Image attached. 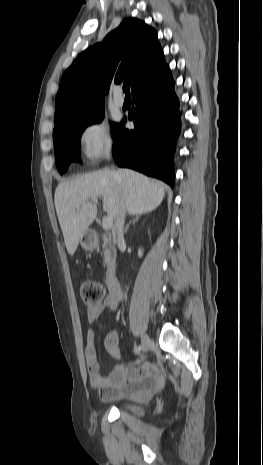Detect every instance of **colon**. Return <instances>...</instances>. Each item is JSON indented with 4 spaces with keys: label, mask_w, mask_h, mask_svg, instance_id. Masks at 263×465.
Segmentation results:
<instances>
[{
    "label": "colon",
    "mask_w": 263,
    "mask_h": 465,
    "mask_svg": "<svg viewBox=\"0 0 263 465\" xmlns=\"http://www.w3.org/2000/svg\"><path fill=\"white\" fill-rule=\"evenodd\" d=\"M104 295L105 288L97 281H85L80 287V296L83 302L89 307L98 305L102 301Z\"/></svg>",
    "instance_id": "obj_1"
}]
</instances>
